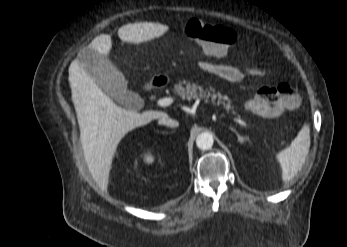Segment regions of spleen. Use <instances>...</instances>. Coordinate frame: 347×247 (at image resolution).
Segmentation results:
<instances>
[{"mask_svg":"<svg viewBox=\"0 0 347 247\" xmlns=\"http://www.w3.org/2000/svg\"><path fill=\"white\" fill-rule=\"evenodd\" d=\"M309 127L305 125L291 145L276 155L284 182H289L305 163L310 148Z\"/></svg>","mask_w":347,"mask_h":247,"instance_id":"1","label":"spleen"}]
</instances>
